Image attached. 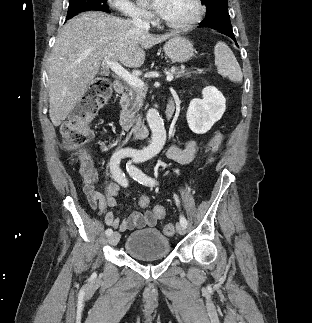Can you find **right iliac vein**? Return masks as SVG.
<instances>
[{
	"label": "right iliac vein",
	"mask_w": 312,
	"mask_h": 323,
	"mask_svg": "<svg viewBox=\"0 0 312 323\" xmlns=\"http://www.w3.org/2000/svg\"><path fill=\"white\" fill-rule=\"evenodd\" d=\"M120 235L118 232H114L109 236L108 242L111 245H116L119 242Z\"/></svg>",
	"instance_id": "right-iliac-vein-1"
}]
</instances>
